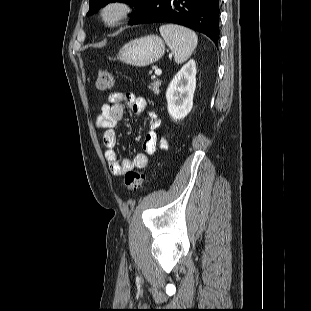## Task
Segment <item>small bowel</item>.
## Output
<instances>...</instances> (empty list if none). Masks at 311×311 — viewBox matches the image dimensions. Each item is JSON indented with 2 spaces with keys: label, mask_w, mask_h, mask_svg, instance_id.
I'll return each instance as SVG.
<instances>
[{
  "label": "small bowel",
  "mask_w": 311,
  "mask_h": 311,
  "mask_svg": "<svg viewBox=\"0 0 311 311\" xmlns=\"http://www.w3.org/2000/svg\"><path fill=\"white\" fill-rule=\"evenodd\" d=\"M124 105H127L138 115L146 111L144 98L132 93L113 92L101 106L94 123L96 131L103 132L102 142L105 148V158L109 170L114 176L123 175L130 170L144 169L148 164V155H153L157 147L164 151L168 149L167 139L165 137L158 138L156 132L161 124L160 118L156 113L147 111L146 117L149 130L143 141L145 153H139L132 159L120 161L115 151L117 139L114 127L124 118Z\"/></svg>",
  "instance_id": "small-bowel-1"
}]
</instances>
